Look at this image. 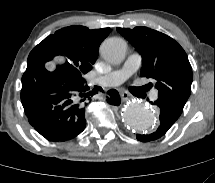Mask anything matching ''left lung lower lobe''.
<instances>
[{"label": "left lung lower lobe", "mask_w": 215, "mask_h": 183, "mask_svg": "<svg viewBox=\"0 0 215 183\" xmlns=\"http://www.w3.org/2000/svg\"><path fill=\"white\" fill-rule=\"evenodd\" d=\"M154 104L158 107L160 112V126L156 132L150 135H137V139L139 141L148 142L160 138L169 130L180 116L173 107L164 101L157 99Z\"/></svg>", "instance_id": "left-lung-lower-lobe-1"}]
</instances>
